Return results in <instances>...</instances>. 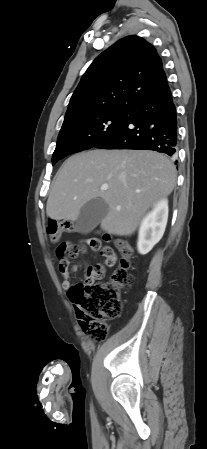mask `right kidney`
<instances>
[{
  "instance_id": "1",
  "label": "right kidney",
  "mask_w": 207,
  "mask_h": 449,
  "mask_svg": "<svg viewBox=\"0 0 207 449\" xmlns=\"http://www.w3.org/2000/svg\"><path fill=\"white\" fill-rule=\"evenodd\" d=\"M168 220V200L157 202L151 212L142 220L137 248L140 254H147L162 238Z\"/></svg>"
}]
</instances>
